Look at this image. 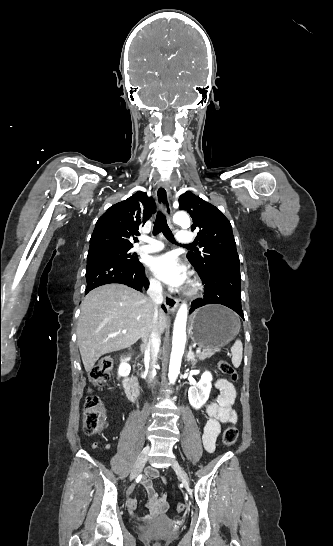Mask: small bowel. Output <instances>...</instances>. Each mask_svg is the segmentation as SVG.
I'll use <instances>...</instances> for the list:
<instances>
[{"instance_id":"c3829d8e","label":"small bowel","mask_w":333,"mask_h":546,"mask_svg":"<svg viewBox=\"0 0 333 546\" xmlns=\"http://www.w3.org/2000/svg\"><path fill=\"white\" fill-rule=\"evenodd\" d=\"M213 386L219 391V396L216 402L209 404L206 408L209 419L202 435L203 447L209 453L215 450L221 424L233 425L237 422V414L233 408L236 398V391L233 384L224 378H217L214 380ZM156 477H158L157 469L150 467L142 479V485L146 490L149 505V514L144 517L145 519H150L161 514L168 506L166 494L158 493L153 486L152 481ZM136 506V499L129 497L127 499V507L130 514H133Z\"/></svg>"}]
</instances>
